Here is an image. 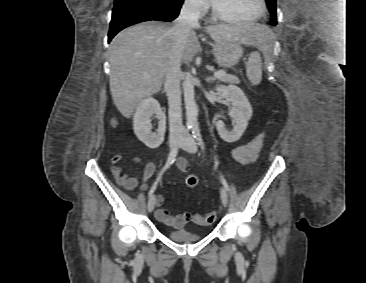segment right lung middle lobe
I'll use <instances>...</instances> for the list:
<instances>
[{
    "instance_id": "right-lung-middle-lobe-1",
    "label": "right lung middle lobe",
    "mask_w": 366,
    "mask_h": 283,
    "mask_svg": "<svg viewBox=\"0 0 366 283\" xmlns=\"http://www.w3.org/2000/svg\"><path fill=\"white\" fill-rule=\"evenodd\" d=\"M168 2H171V3H176V2H180L181 0H166Z\"/></svg>"
}]
</instances>
